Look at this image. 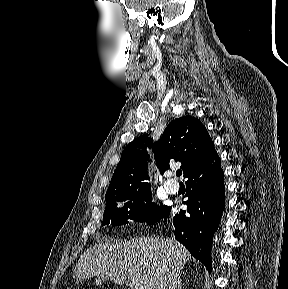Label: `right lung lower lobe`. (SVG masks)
Here are the masks:
<instances>
[{"instance_id":"obj_1","label":"right lung lower lobe","mask_w":288,"mask_h":289,"mask_svg":"<svg viewBox=\"0 0 288 289\" xmlns=\"http://www.w3.org/2000/svg\"><path fill=\"white\" fill-rule=\"evenodd\" d=\"M187 211L173 217L174 235L207 269H211L212 237L225 207L224 172L217 153L187 176ZM171 210L167 207L165 217Z\"/></svg>"}]
</instances>
